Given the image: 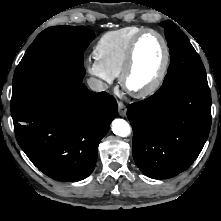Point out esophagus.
I'll return each mask as SVG.
<instances>
[{
	"label": "esophagus",
	"instance_id": "esophagus-1",
	"mask_svg": "<svg viewBox=\"0 0 221 221\" xmlns=\"http://www.w3.org/2000/svg\"><path fill=\"white\" fill-rule=\"evenodd\" d=\"M117 103H118L119 114L123 117L126 116V113H127L126 106L120 101H118Z\"/></svg>",
	"mask_w": 221,
	"mask_h": 221
}]
</instances>
